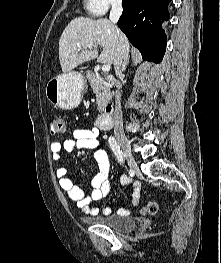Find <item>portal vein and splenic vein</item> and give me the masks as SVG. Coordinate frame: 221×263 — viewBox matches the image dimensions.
Returning <instances> with one entry per match:
<instances>
[{
  "label": "portal vein and splenic vein",
  "mask_w": 221,
  "mask_h": 263,
  "mask_svg": "<svg viewBox=\"0 0 221 263\" xmlns=\"http://www.w3.org/2000/svg\"><path fill=\"white\" fill-rule=\"evenodd\" d=\"M88 49H94L93 46H88ZM111 69V66L107 63H104L103 66H102V71L103 72H109Z\"/></svg>",
  "instance_id": "obj_1"
}]
</instances>
